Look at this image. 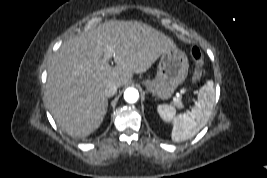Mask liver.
<instances>
[{"mask_svg": "<svg viewBox=\"0 0 267 178\" xmlns=\"http://www.w3.org/2000/svg\"><path fill=\"white\" fill-rule=\"evenodd\" d=\"M175 46L165 34L137 21L105 22L67 40L48 67L46 100L51 115L68 135H90L104 118L105 85L122 87ZM108 48L115 51V67L104 60Z\"/></svg>", "mask_w": 267, "mask_h": 178, "instance_id": "1", "label": "liver"}]
</instances>
